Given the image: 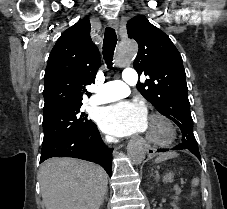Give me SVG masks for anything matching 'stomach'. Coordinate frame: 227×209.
<instances>
[{"label":"stomach","mask_w":227,"mask_h":209,"mask_svg":"<svg viewBox=\"0 0 227 209\" xmlns=\"http://www.w3.org/2000/svg\"><path fill=\"white\" fill-rule=\"evenodd\" d=\"M172 179H173V174H172V173L166 174V175L163 177V181H164V182H170Z\"/></svg>","instance_id":"obj_1"}]
</instances>
